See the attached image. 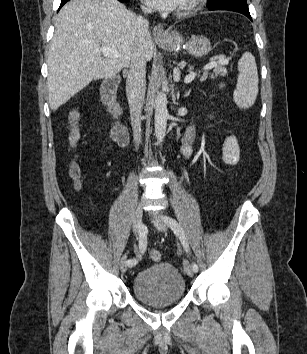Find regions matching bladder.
I'll return each instance as SVG.
<instances>
[{
	"label": "bladder",
	"mask_w": 307,
	"mask_h": 354,
	"mask_svg": "<svg viewBox=\"0 0 307 354\" xmlns=\"http://www.w3.org/2000/svg\"><path fill=\"white\" fill-rule=\"evenodd\" d=\"M134 296L151 307L178 303L186 293L185 279L172 264L160 262L139 271L132 283Z\"/></svg>",
	"instance_id": "obj_1"
}]
</instances>
